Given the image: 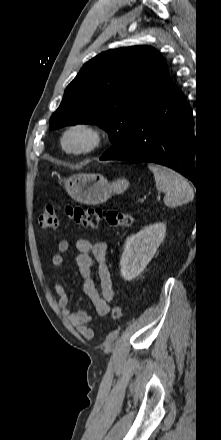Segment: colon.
<instances>
[{
    "instance_id": "obj_1",
    "label": "colon",
    "mask_w": 221,
    "mask_h": 440,
    "mask_svg": "<svg viewBox=\"0 0 221 440\" xmlns=\"http://www.w3.org/2000/svg\"><path fill=\"white\" fill-rule=\"evenodd\" d=\"M65 213L70 220L84 228H96L102 221L114 227H128L134 222V216L129 213L94 207L67 206ZM39 221L44 230H56L58 227V217L55 207L52 205L45 206L42 209ZM111 318L114 321L122 318L120 306L116 305L112 308Z\"/></svg>"
}]
</instances>
